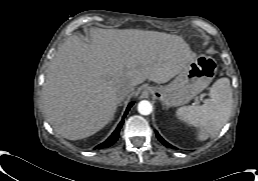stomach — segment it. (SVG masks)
<instances>
[{"mask_svg":"<svg viewBox=\"0 0 258 181\" xmlns=\"http://www.w3.org/2000/svg\"><path fill=\"white\" fill-rule=\"evenodd\" d=\"M216 71V61L201 54L188 63L169 84L148 86L146 91L165 107L184 105L211 83Z\"/></svg>","mask_w":258,"mask_h":181,"instance_id":"stomach-1","label":"stomach"}]
</instances>
